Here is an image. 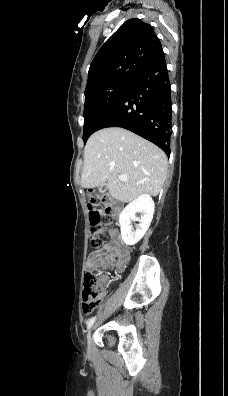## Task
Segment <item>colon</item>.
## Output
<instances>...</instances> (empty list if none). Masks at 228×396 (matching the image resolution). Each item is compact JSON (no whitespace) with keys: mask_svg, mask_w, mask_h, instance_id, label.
I'll return each mask as SVG.
<instances>
[{"mask_svg":"<svg viewBox=\"0 0 228 396\" xmlns=\"http://www.w3.org/2000/svg\"><path fill=\"white\" fill-rule=\"evenodd\" d=\"M89 220L91 225L90 241L94 246H101L109 237L107 225L114 215L113 205L103 195H92L88 201ZM106 287L103 273H87L84 277L82 292V310L91 313L102 299Z\"/></svg>","mask_w":228,"mask_h":396,"instance_id":"1","label":"colon"}]
</instances>
